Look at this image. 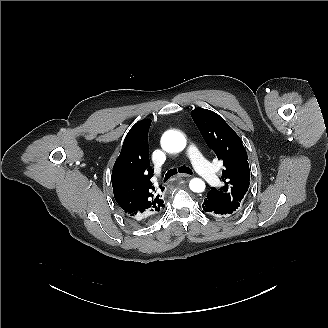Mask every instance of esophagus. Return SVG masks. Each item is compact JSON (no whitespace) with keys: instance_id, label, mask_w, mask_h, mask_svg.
Masks as SVG:
<instances>
[{"instance_id":"34e87169","label":"esophagus","mask_w":328,"mask_h":328,"mask_svg":"<svg viewBox=\"0 0 328 328\" xmlns=\"http://www.w3.org/2000/svg\"><path fill=\"white\" fill-rule=\"evenodd\" d=\"M177 177L178 178H181V177H190V175H188V174H178Z\"/></svg>"}]
</instances>
